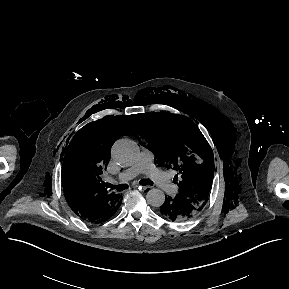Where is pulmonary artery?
Segmentation results:
<instances>
[{
	"label": "pulmonary artery",
	"instance_id": "e3ab8cb5",
	"mask_svg": "<svg viewBox=\"0 0 289 289\" xmlns=\"http://www.w3.org/2000/svg\"><path fill=\"white\" fill-rule=\"evenodd\" d=\"M154 155L151 150L143 149L137 162L130 168L119 173L113 181L126 182L140 174H146L152 181H154L161 189L167 193H172L176 190V186L169 179L167 174L158 169L154 164Z\"/></svg>",
	"mask_w": 289,
	"mask_h": 289
}]
</instances>
